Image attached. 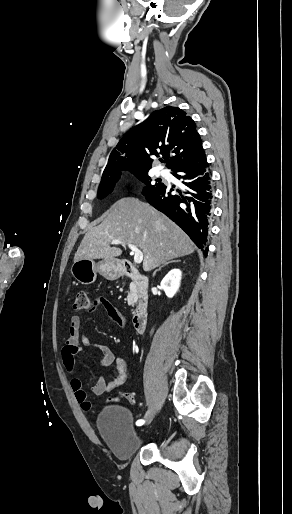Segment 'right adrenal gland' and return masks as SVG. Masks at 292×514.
Returning a JSON list of instances; mask_svg holds the SVG:
<instances>
[{
    "mask_svg": "<svg viewBox=\"0 0 292 514\" xmlns=\"http://www.w3.org/2000/svg\"><path fill=\"white\" fill-rule=\"evenodd\" d=\"M172 262H181V260H172ZM172 262H167V264H163L161 268H164V266H168V264H172ZM161 268H159V270H161ZM159 270H155L153 276H156V272H159Z\"/></svg>",
    "mask_w": 292,
    "mask_h": 514,
    "instance_id": "obj_1",
    "label": "right adrenal gland"
}]
</instances>
